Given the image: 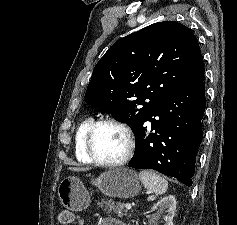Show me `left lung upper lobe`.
<instances>
[{"label":"left lung upper lobe","instance_id":"1","mask_svg":"<svg viewBox=\"0 0 237 225\" xmlns=\"http://www.w3.org/2000/svg\"><path fill=\"white\" fill-rule=\"evenodd\" d=\"M203 80L195 35L178 22L164 21L119 39L106 52L93 70L85 101L134 132L156 103Z\"/></svg>","mask_w":237,"mask_h":225}]
</instances>
